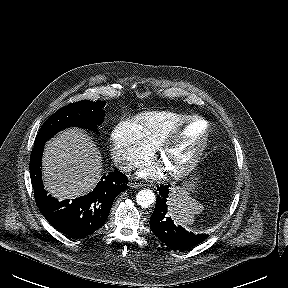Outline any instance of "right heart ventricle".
Returning a JSON list of instances; mask_svg holds the SVG:
<instances>
[{
    "instance_id": "right-heart-ventricle-1",
    "label": "right heart ventricle",
    "mask_w": 288,
    "mask_h": 288,
    "mask_svg": "<svg viewBox=\"0 0 288 288\" xmlns=\"http://www.w3.org/2000/svg\"><path fill=\"white\" fill-rule=\"evenodd\" d=\"M188 117L179 112L152 111L138 116L137 122L146 140L155 148L166 133Z\"/></svg>"
}]
</instances>
